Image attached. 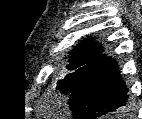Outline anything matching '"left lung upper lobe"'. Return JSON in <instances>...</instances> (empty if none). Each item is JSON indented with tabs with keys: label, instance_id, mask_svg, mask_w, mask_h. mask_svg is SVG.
<instances>
[{
	"label": "left lung upper lobe",
	"instance_id": "obj_1",
	"mask_svg": "<svg viewBox=\"0 0 142 119\" xmlns=\"http://www.w3.org/2000/svg\"><path fill=\"white\" fill-rule=\"evenodd\" d=\"M100 44L93 42L92 39H85L72 51L67 69L69 74L58 82V89L62 94H70L79 84L82 78L99 64L105 57Z\"/></svg>",
	"mask_w": 142,
	"mask_h": 119
}]
</instances>
